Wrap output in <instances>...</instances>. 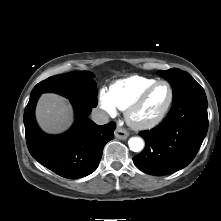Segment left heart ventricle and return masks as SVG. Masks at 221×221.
Returning a JSON list of instances; mask_svg holds the SVG:
<instances>
[{
	"instance_id": "b2bd125f",
	"label": "left heart ventricle",
	"mask_w": 221,
	"mask_h": 221,
	"mask_svg": "<svg viewBox=\"0 0 221 221\" xmlns=\"http://www.w3.org/2000/svg\"><path fill=\"white\" fill-rule=\"evenodd\" d=\"M169 98V89L166 85L157 86L149 95L138 112L141 119H153L160 114Z\"/></svg>"
}]
</instances>
